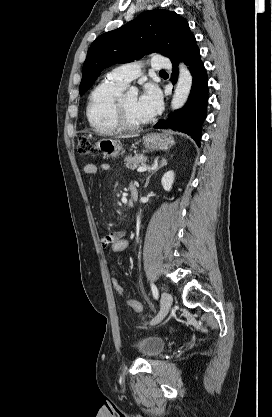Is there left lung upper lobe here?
Segmentation results:
<instances>
[{
  "label": "left lung upper lobe",
  "instance_id": "obj_1",
  "mask_svg": "<svg viewBox=\"0 0 272 417\" xmlns=\"http://www.w3.org/2000/svg\"><path fill=\"white\" fill-rule=\"evenodd\" d=\"M196 47V39L184 18L168 10L146 11L92 43L82 70L80 95L93 85L103 69L115 63L131 62L152 52L162 53L175 63Z\"/></svg>",
  "mask_w": 272,
  "mask_h": 417
}]
</instances>
